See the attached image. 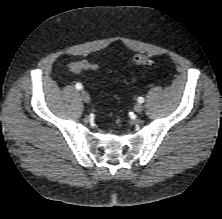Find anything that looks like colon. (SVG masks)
I'll return each instance as SVG.
<instances>
[{"label": "colon", "mask_w": 222, "mask_h": 219, "mask_svg": "<svg viewBox=\"0 0 222 219\" xmlns=\"http://www.w3.org/2000/svg\"><path fill=\"white\" fill-rule=\"evenodd\" d=\"M135 65L142 66L150 63V58L143 54H138L133 58Z\"/></svg>", "instance_id": "obj_1"}]
</instances>
